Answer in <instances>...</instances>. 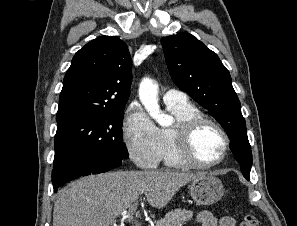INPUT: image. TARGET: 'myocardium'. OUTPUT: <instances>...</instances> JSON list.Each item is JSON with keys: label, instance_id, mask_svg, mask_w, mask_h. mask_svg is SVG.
Returning a JSON list of instances; mask_svg holds the SVG:
<instances>
[{"label": "myocardium", "instance_id": "f54148a6", "mask_svg": "<svg viewBox=\"0 0 297 226\" xmlns=\"http://www.w3.org/2000/svg\"><path fill=\"white\" fill-rule=\"evenodd\" d=\"M204 125L215 127L224 139V145L220 156L212 162L200 161L193 152L194 135ZM172 137L180 158L189 166L198 169H208L219 165L225 159L230 145L229 135L223 126L216 120L204 116L175 123L172 128Z\"/></svg>", "mask_w": 297, "mask_h": 226}]
</instances>
